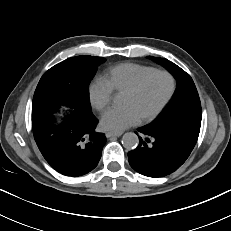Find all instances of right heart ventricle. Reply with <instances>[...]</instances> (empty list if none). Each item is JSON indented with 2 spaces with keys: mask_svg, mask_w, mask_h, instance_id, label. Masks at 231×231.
<instances>
[{
  "mask_svg": "<svg viewBox=\"0 0 231 231\" xmlns=\"http://www.w3.org/2000/svg\"><path fill=\"white\" fill-rule=\"evenodd\" d=\"M155 70V68L136 64L122 63L110 68L104 79L111 89L117 93H124L131 85L145 74Z\"/></svg>",
  "mask_w": 231,
  "mask_h": 231,
  "instance_id": "e07e8e85",
  "label": "right heart ventricle"
}]
</instances>
